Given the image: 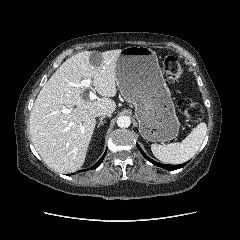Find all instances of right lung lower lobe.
<instances>
[{
	"instance_id": "1",
	"label": "right lung lower lobe",
	"mask_w": 240,
	"mask_h": 240,
	"mask_svg": "<svg viewBox=\"0 0 240 240\" xmlns=\"http://www.w3.org/2000/svg\"><path fill=\"white\" fill-rule=\"evenodd\" d=\"M105 154H106V153H105ZM105 154L102 156V158H101L96 164H94V165L91 167V169H94V168L98 167V166L102 163Z\"/></svg>"
}]
</instances>
